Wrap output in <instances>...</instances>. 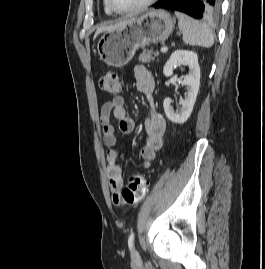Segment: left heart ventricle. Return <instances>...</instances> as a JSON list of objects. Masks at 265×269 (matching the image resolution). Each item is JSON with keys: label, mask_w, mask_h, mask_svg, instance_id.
I'll return each mask as SVG.
<instances>
[{"label": "left heart ventricle", "mask_w": 265, "mask_h": 269, "mask_svg": "<svg viewBox=\"0 0 265 269\" xmlns=\"http://www.w3.org/2000/svg\"><path fill=\"white\" fill-rule=\"evenodd\" d=\"M145 0H112L113 5L117 9H131L141 4Z\"/></svg>", "instance_id": "1"}]
</instances>
